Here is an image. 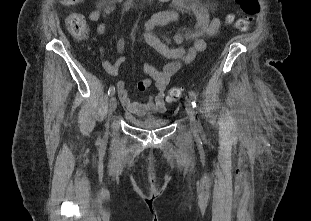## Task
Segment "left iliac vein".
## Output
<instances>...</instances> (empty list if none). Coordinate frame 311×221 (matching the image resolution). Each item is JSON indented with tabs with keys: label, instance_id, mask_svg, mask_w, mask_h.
Here are the masks:
<instances>
[{
	"label": "left iliac vein",
	"instance_id": "obj_1",
	"mask_svg": "<svg viewBox=\"0 0 311 221\" xmlns=\"http://www.w3.org/2000/svg\"><path fill=\"white\" fill-rule=\"evenodd\" d=\"M185 108H186V112H187V115L190 121V127L193 131H195L197 128V123L195 121L194 110H193L192 103L190 100L185 101Z\"/></svg>",
	"mask_w": 311,
	"mask_h": 221
}]
</instances>
